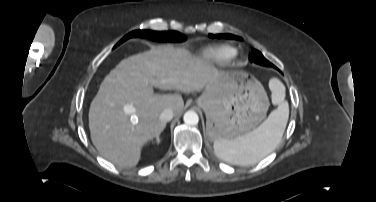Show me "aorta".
Listing matches in <instances>:
<instances>
[{"label": "aorta", "mask_w": 376, "mask_h": 202, "mask_svg": "<svg viewBox=\"0 0 376 202\" xmlns=\"http://www.w3.org/2000/svg\"><path fill=\"white\" fill-rule=\"evenodd\" d=\"M184 123L187 125H197L199 122V116L195 111L189 110L183 116Z\"/></svg>", "instance_id": "obj_1"}]
</instances>
